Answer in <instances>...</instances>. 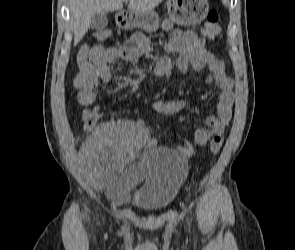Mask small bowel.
Wrapping results in <instances>:
<instances>
[{"label": "small bowel", "instance_id": "obj_1", "mask_svg": "<svg viewBox=\"0 0 295 250\" xmlns=\"http://www.w3.org/2000/svg\"><path fill=\"white\" fill-rule=\"evenodd\" d=\"M163 29L171 31L172 36L156 60L155 75L168 78L174 68L183 73L207 69L209 74L206 83L215 86L220 93L216 113L207 116L205 122L208 128L196 130L195 141L201 146L214 139L222 142V135L232 117L234 103L233 82L225 74L224 62L207 50L205 41L195 32L173 29L169 23H163ZM151 53V47L141 34L133 35L128 42L118 46H93L89 62L78 65L79 71L74 79L78 102L83 106L94 104L95 89L99 81H111L110 63L120 60L132 62ZM187 105L185 100H159L153 103V109L161 115L171 116L184 110ZM155 143L148 127L141 121L104 123L82 146V171L90 181L104 188L113 197L125 199L146 177L143 162L136 160L139 151L150 148ZM178 150L185 156L193 153V147L187 141ZM128 161L134 163L116 173Z\"/></svg>", "mask_w": 295, "mask_h": 250}]
</instances>
